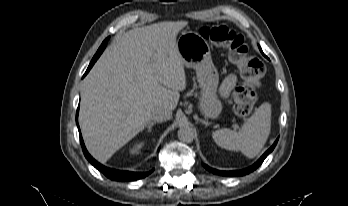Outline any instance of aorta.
I'll use <instances>...</instances> for the list:
<instances>
[{"mask_svg": "<svg viewBox=\"0 0 348 206\" xmlns=\"http://www.w3.org/2000/svg\"><path fill=\"white\" fill-rule=\"evenodd\" d=\"M178 138L182 142L191 143L195 138V130L189 125L181 126L178 130Z\"/></svg>", "mask_w": 348, "mask_h": 206, "instance_id": "obj_1", "label": "aorta"}]
</instances>
